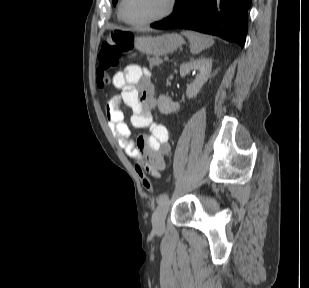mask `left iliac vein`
I'll return each mask as SVG.
<instances>
[{"mask_svg":"<svg viewBox=\"0 0 309 288\" xmlns=\"http://www.w3.org/2000/svg\"><path fill=\"white\" fill-rule=\"evenodd\" d=\"M169 207H170V202L169 200H166L160 203L159 207L156 209L155 213L153 214V218H152L153 229L158 233L163 232L165 228V218L169 210Z\"/></svg>","mask_w":309,"mask_h":288,"instance_id":"left-iliac-vein-1","label":"left iliac vein"}]
</instances>
